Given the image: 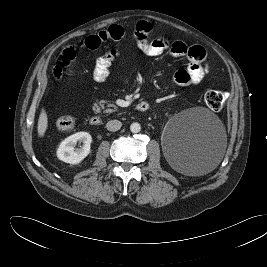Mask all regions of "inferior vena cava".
<instances>
[{"label":"inferior vena cava","instance_id":"inferior-vena-cava-1","mask_svg":"<svg viewBox=\"0 0 267 267\" xmlns=\"http://www.w3.org/2000/svg\"><path fill=\"white\" fill-rule=\"evenodd\" d=\"M121 126L122 123L118 120H111L106 124L107 129L112 132L118 131Z\"/></svg>","mask_w":267,"mask_h":267}]
</instances>
